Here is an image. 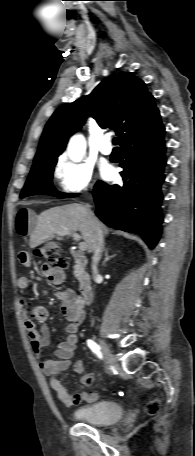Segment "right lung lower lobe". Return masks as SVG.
I'll list each match as a JSON object with an SVG mask.
<instances>
[{
	"label": "right lung lower lobe",
	"instance_id": "98d812e1",
	"mask_svg": "<svg viewBox=\"0 0 195 456\" xmlns=\"http://www.w3.org/2000/svg\"><path fill=\"white\" fill-rule=\"evenodd\" d=\"M165 128L137 134L121 145L122 186L98 181L93 195L96 215L108 226L142 236L154 248L161 235Z\"/></svg>",
	"mask_w": 195,
	"mask_h": 456
}]
</instances>
